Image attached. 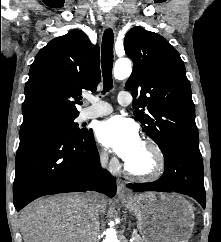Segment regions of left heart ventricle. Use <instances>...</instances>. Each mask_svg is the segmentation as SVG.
<instances>
[{"mask_svg": "<svg viewBox=\"0 0 221 242\" xmlns=\"http://www.w3.org/2000/svg\"><path fill=\"white\" fill-rule=\"evenodd\" d=\"M128 164L136 171H147L152 164L151 154L148 149L142 145Z\"/></svg>", "mask_w": 221, "mask_h": 242, "instance_id": "left-heart-ventricle-1", "label": "left heart ventricle"}]
</instances>
